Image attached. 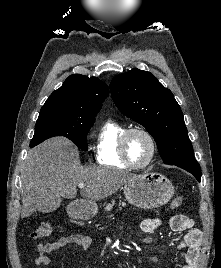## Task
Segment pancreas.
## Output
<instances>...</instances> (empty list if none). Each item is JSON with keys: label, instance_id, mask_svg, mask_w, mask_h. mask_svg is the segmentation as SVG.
I'll use <instances>...</instances> for the list:
<instances>
[{"label": "pancreas", "instance_id": "1", "mask_svg": "<svg viewBox=\"0 0 221 268\" xmlns=\"http://www.w3.org/2000/svg\"><path fill=\"white\" fill-rule=\"evenodd\" d=\"M114 202H115V201H112V204H108V205L105 207V211H110V210L113 208ZM125 205H126L125 203H122V206H125Z\"/></svg>", "mask_w": 221, "mask_h": 268}]
</instances>
